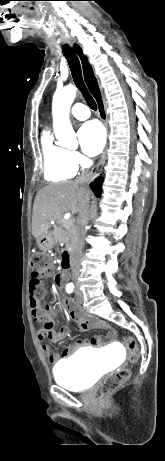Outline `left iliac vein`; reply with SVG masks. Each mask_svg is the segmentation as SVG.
Returning a JSON list of instances; mask_svg holds the SVG:
<instances>
[{
    "label": "left iliac vein",
    "mask_w": 165,
    "mask_h": 461,
    "mask_svg": "<svg viewBox=\"0 0 165 461\" xmlns=\"http://www.w3.org/2000/svg\"><path fill=\"white\" fill-rule=\"evenodd\" d=\"M83 302V296L81 295V293H78V296H77V303L78 304H81Z\"/></svg>",
    "instance_id": "left-iliac-vein-1"
}]
</instances>
